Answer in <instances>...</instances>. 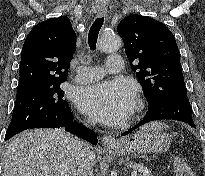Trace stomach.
I'll use <instances>...</instances> for the list:
<instances>
[{"label":"stomach","mask_w":205,"mask_h":176,"mask_svg":"<svg viewBox=\"0 0 205 176\" xmlns=\"http://www.w3.org/2000/svg\"><path fill=\"white\" fill-rule=\"evenodd\" d=\"M164 125L151 123L143 126L135 134L120 139L108 151L114 155H128L131 153H163L170 147V136L162 131Z\"/></svg>","instance_id":"obj_1"}]
</instances>
